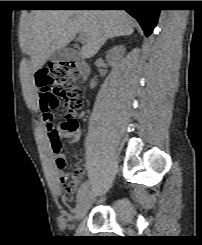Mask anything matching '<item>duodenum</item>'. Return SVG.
I'll use <instances>...</instances> for the list:
<instances>
[{
  "mask_svg": "<svg viewBox=\"0 0 202 245\" xmlns=\"http://www.w3.org/2000/svg\"><path fill=\"white\" fill-rule=\"evenodd\" d=\"M78 71L80 78L83 80L86 79L90 72L89 65L85 61L80 60L78 62Z\"/></svg>",
  "mask_w": 202,
  "mask_h": 245,
  "instance_id": "410a0bca",
  "label": "duodenum"
}]
</instances>
